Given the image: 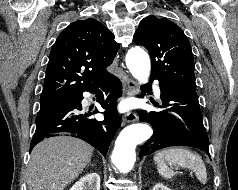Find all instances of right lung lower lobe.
Returning <instances> with one entry per match:
<instances>
[{
    "instance_id": "right-lung-lower-lobe-1",
    "label": "right lung lower lobe",
    "mask_w": 238,
    "mask_h": 190,
    "mask_svg": "<svg viewBox=\"0 0 238 190\" xmlns=\"http://www.w3.org/2000/svg\"><path fill=\"white\" fill-rule=\"evenodd\" d=\"M99 87L105 92H111L105 100L103 94L99 99V103L105 109L103 121L89 118L93 113L99 112L97 109L93 113L82 110L83 91L72 103L39 111L30 151L52 133L72 132L79 134L81 139L106 156L111 140L121 123V117L116 111V99L121 96L122 84L116 76L110 75L85 91L99 92Z\"/></svg>"
}]
</instances>
